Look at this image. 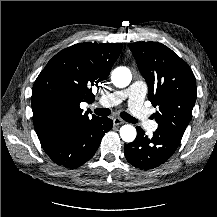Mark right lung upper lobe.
Wrapping results in <instances>:
<instances>
[{
  "mask_svg": "<svg viewBox=\"0 0 217 217\" xmlns=\"http://www.w3.org/2000/svg\"><path fill=\"white\" fill-rule=\"evenodd\" d=\"M122 50L120 43H82L63 49L41 71L32 89L33 124L39 140L96 118L80 103H92V87L104 81Z\"/></svg>",
  "mask_w": 217,
  "mask_h": 217,
  "instance_id": "obj_1",
  "label": "right lung upper lobe"
}]
</instances>
